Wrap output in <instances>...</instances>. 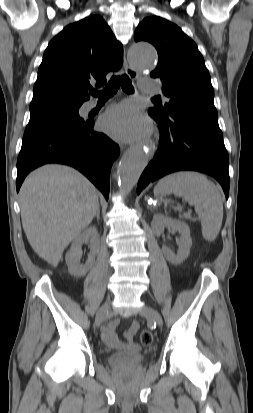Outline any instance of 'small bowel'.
I'll use <instances>...</instances> for the list:
<instances>
[{"label":"small bowel","mask_w":253,"mask_h":413,"mask_svg":"<svg viewBox=\"0 0 253 413\" xmlns=\"http://www.w3.org/2000/svg\"><path fill=\"white\" fill-rule=\"evenodd\" d=\"M118 326V322L114 321L111 324H109L108 326H106L103 330H102V339L103 341L112 348H116V349H121L123 348L126 344L129 345H133V340H134V336L138 330V323L133 321L130 323L128 329L125 331L124 333V339L125 342L121 341L117 334H116V328Z\"/></svg>","instance_id":"small-bowel-1"}]
</instances>
